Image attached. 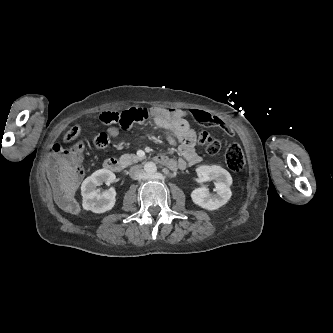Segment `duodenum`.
<instances>
[{
    "instance_id": "obj_1",
    "label": "duodenum",
    "mask_w": 333,
    "mask_h": 333,
    "mask_svg": "<svg viewBox=\"0 0 333 333\" xmlns=\"http://www.w3.org/2000/svg\"><path fill=\"white\" fill-rule=\"evenodd\" d=\"M158 161H162L161 157H158ZM104 167L114 173H118L122 169L120 161L116 158H109L105 161Z\"/></svg>"
}]
</instances>
